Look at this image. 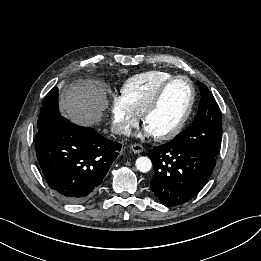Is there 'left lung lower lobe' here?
<instances>
[{"instance_id": "left-lung-lower-lobe-1", "label": "left lung lower lobe", "mask_w": 261, "mask_h": 261, "mask_svg": "<svg viewBox=\"0 0 261 261\" xmlns=\"http://www.w3.org/2000/svg\"><path fill=\"white\" fill-rule=\"evenodd\" d=\"M154 167L150 189L165 206L192 199L207 183L216 157L173 139L148 152Z\"/></svg>"}]
</instances>
